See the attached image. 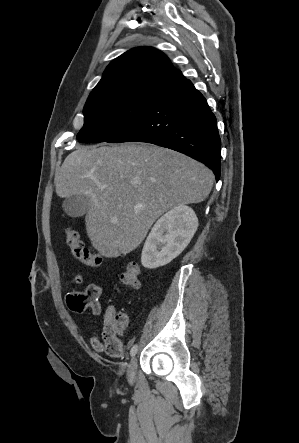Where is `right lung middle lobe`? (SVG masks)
I'll return each mask as SVG.
<instances>
[{
	"mask_svg": "<svg viewBox=\"0 0 299 443\" xmlns=\"http://www.w3.org/2000/svg\"><path fill=\"white\" fill-rule=\"evenodd\" d=\"M165 89L119 88L89 96L84 106V125L77 134L82 143L105 142L131 125Z\"/></svg>",
	"mask_w": 299,
	"mask_h": 443,
	"instance_id": "right-lung-middle-lobe-1",
	"label": "right lung middle lobe"
}]
</instances>
